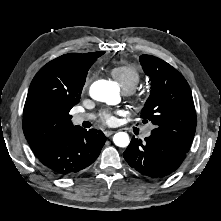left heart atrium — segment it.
Here are the masks:
<instances>
[{
	"label": "left heart atrium",
	"mask_w": 221,
	"mask_h": 221,
	"mask_svg": "<svg viewBox=\"0 0 221 221\" xmlns=\"http://www.w3.org/2000/svg\"><path fill=\"white\" fill-rule=\"evenodd\" d=\"M102 119L105 123L110 124V125L116 122L115 116L111 112H107V111L102 114Z\"/></svg>",
	"instance_id": "39dd6f15"
}]
</instances>
